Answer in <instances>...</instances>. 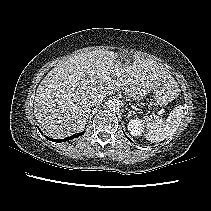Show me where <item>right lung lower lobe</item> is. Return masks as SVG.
I'll return each mask as SVG.
<instances>
[{
    "label": "right lung lower lobe",
    "instance_id": "obj_1",
    "mask_svg": "<svg viewBox=\"0 0 211 211\" xmlns=\"http://www.w3.org/2000/svg\"><path fill=\"white\" fill-rule=\"evenodd\" d=\"M39 131L41 132V130H39ZM83 134H84V132L77 133V134H74V135H72V136H70V137H67L66 139H62V140L52 139V138H49V137H47V136H46V138H47L48 140H50V141H54V142L60 143V142H62V141H66V140H72V139H74V138H76V137H78V136H80V135H83Z\"/></svg>",
    "mask_w": 211,
    "mask_h": 211
}]
</instances>
